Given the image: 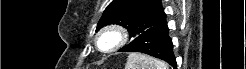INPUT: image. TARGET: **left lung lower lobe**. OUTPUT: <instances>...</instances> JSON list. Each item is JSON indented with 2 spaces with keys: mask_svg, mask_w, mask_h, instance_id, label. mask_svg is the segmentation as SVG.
Wrapping results in <instances>:
<instances>
[{
  "mask_svg": "<svg viewBox=\"0 0 246 69\" xmlns=\"http://www.w3.org/2000/svg\"><path fill=\"white\" fill-rule=\"evenodd\" d=\"M168 34L169 29L167 22H165L146 30L131 43L121 48L119 52H142L162 59L176 67L177 63L173 53V44Z\"/></svg>",
  "mask_w": 246,
  "mask_h": 69,
  "instance_id": "left-lung-lower-lobe-1",
  "label": "left lung lower lobe"
}]
</instances>
